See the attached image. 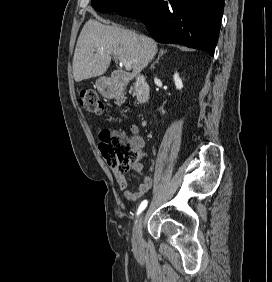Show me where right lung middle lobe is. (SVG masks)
Here are the masks:
<instances>
[{
    "label": "right lung middle lobe",
    "instance_id": "right-lung-middle-lobe-1",
    "mask_svg": "<svg viewBox=\"0 0 272 282\" xmlns=\"http://www.w3.org/2000/svg\"><path fill=\"white\" fill-rule=\"evenodd\" d=\"M141 0H92V6L100 12L115 11L130 7Z\"/></svg>",
    "mask_w": 272,
    "mask_h": 282
}]
</instances>
